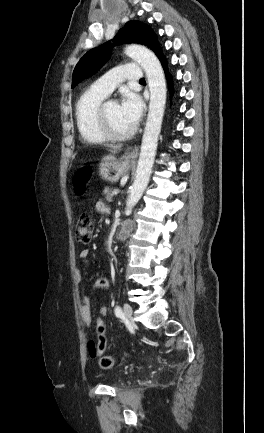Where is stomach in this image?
<instances>
[{"label": "stomach", "instance_id": "stomach-1", "mask_svg": "<svg viewBox=\"0 0 264 433\" xmlns=\"http://www.w3.org/2000/svg\"><path fill=\"white\" fill-rule=\"evenodd\" d=\"M132 159L124 155L116 159L112 155L104 156L99 163L100 177L110 183H116L132 167Z\"/></svg>", "mask_w": 264, "mask_h": 433}]
</instances>
